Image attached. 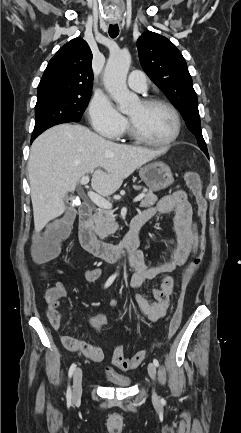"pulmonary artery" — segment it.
I'll use <instances>...</instances> for the list:
<instances>
[{
  "label": "pulmonary artery",
  "instance_id": "1",
  "mask_svg": "<svg viewBox=\"0 0 241 433\" xmlns=\"http://www.w3.org/2000/svg\"><path fill=\"white\" fill-rule=\"evenodd\" d=\"M129 87L137 92H144L147 89V79L143 72L133 71L128 78Z\"/></svg>",
  "mask_w": 241,
  "mask_h": 433
}]
</instances>
